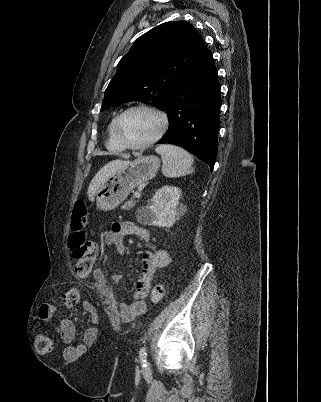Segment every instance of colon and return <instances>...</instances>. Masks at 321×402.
Listing matches in <instances>:
<instances>
[{"mask_svg":"<svg viewBox=\"0 0 321 402\" xmlns=\"http://www.w3.org/2000/svg\"><path fill=\"white\" fill-rule=\"evenodd\" d=\"M88 219L87 204L78 201L71 213L70 228L71 232L67 239L68 248L76 260V271L78 276L86 278L92 271L97 258V245L88 240L85 234V228ZM165 295V285L156 284L151 291V300L154 303L160 302ZM80 295L77 288L67 290L63 295V304L72 308L79 302ZM55 340L49 334H40L36 338V350L39 353H49L54 349Z\"/></svg>","mask_w":321,"mask_h":402,"instance_id":"1","label":"colon"}]
</instances>
